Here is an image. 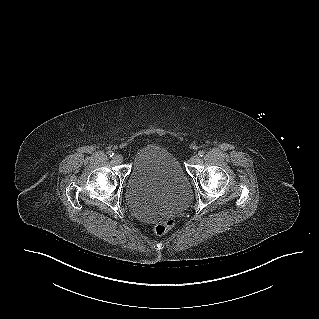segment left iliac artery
<instances>
[{
  "mask_svg": "<svg viewBox=\"0 0 319 319\" xmlns=\"http://www.w3.org/2000/svg\"><path fill=\"white\" fill-rule=\"evenodd\" d=\"M198 155H199L200 157H203V156L205 155V151H203V150L199 151Z\"/></svg>",
  "mask_w": 319,
  "mask_h": 319,
  "instance_id": "1",
  "label": "left iliac artery"
}]
</instances>
